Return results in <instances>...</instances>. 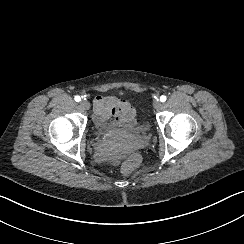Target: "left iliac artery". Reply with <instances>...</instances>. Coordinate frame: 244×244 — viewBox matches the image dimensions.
<instances>
[{
	"label": "left iliac artery",
	"mask_w": 244,
	"mask_h": 244,
	"mask_svg": "<svg viewBox=\"0 0 244 244\" xmlns=\"http://www.w3.org/2000/svg\"><path fill=\"white\" fill-rule=\"evenodd\" d=\"M160 101H161V102H165V101H166V96L162 95V96L160 97Z\"/></svg>",
	"instance_id": "obj_1"
}]
</instances>
